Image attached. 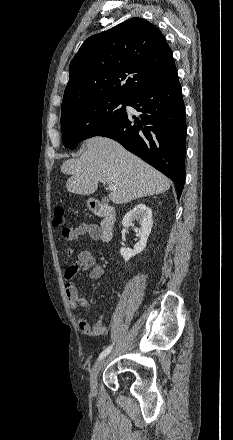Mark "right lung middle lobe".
<instances>
[{"label": "right lung middle lobe", "mask_w": 233, "mask_h": 440, "mask_svg": "<svg viewBox=\"0 0 233 440\" xmlns=\"http://www.w3.org/2000/svg\"><path fill=\"white\" fill-rule=\"evenodd\" d=\"M127 104L124 98H94L62 108L64 146L74 149L80 141L99 136L125 114Z\"/></svg>", "instance_id": "1"}]
</instances>
